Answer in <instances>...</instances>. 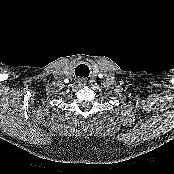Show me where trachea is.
Returning a JSON list of instances; mask_svg holds the SVG:
<instances>
[{
  "label": "trachea",
  "mask_w": 174,
  "mask_h": 174,
  "mask_svg": "<svg viewBox=\"0 0 174 174\" xmlns=\"http://www.w3.org/2000/svg\"><path fill=\"white\" fill-rule=\"evenodd\" d=\"M75 75L76 77L78 76H83V77H88L89 76V68L85 64H80L75 68Z\"/></svg>",
  "instance_id": "obj_1"
}]
</instances>
